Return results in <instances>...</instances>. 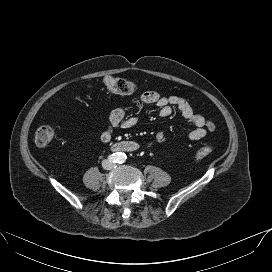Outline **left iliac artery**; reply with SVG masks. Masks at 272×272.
Returning <instances> with one entry per match:
<instances>
[{
    "mask_svg": "<svg viewBox=\"0 0 272 272\" xmlns=\"http://www.w3.org/2000/svg\"><path fill=\"white\" fill-rule=\"evenodd\" d=\"M125 159H126V156L124 157V156H121L120 158H119V162L120 163H123L124 161H125Z\"/></svg>",
    "mask_w": 272,
    "mask_h": 272,
    "instance_id": "1",
    "label": "left iliac artery"
}]
</instances>
